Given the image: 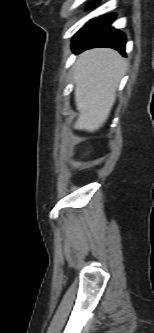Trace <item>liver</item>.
<instances>
[{"instance_id":"obj_1","label":"liver","mask_w":154,"mask_h":333,"mask_svg":"<svg viewBox=\"0 0 154 333\" xmlns=\"http://www.w3.org/2000/svg\"><path fill=\"white\" fill-rule=\"evenodd\" d=\"M127 61L115 50L97 48L83 52L74 66L77 130L95 132L109 117Z\"/></svg>"}]
</instances>
